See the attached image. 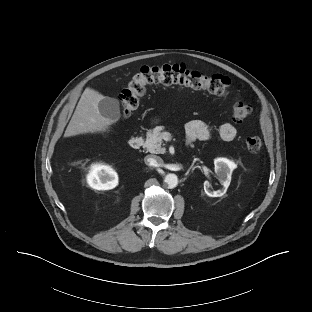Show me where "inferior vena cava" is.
<instances>
[{"label": "inferior vena cava", "instance_id": "obj_1", "mask_svg": "<svg viewBox=\"0 0 312 312\" xmlns=\"http://www.w3.org/2000/svg\"><path fill=\"white\" fill-rule=\"evenodd\" d=\"M145 164L151 167H160L163 165V159L156 155H148L144 159Z\"/></svg>", "mask_w": 312, "mask_h": 312}]
</instances>
